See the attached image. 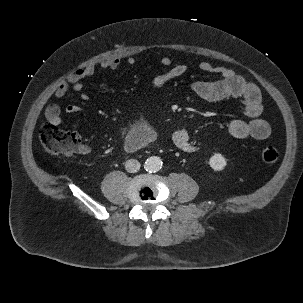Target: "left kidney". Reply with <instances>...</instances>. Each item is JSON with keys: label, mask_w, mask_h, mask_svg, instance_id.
I'll use <instances>...</instances> for the list:
<instances>
[{"label": "left kidney", "mask_w": 303, "mask_h": 303, "mask_svg": "<svg viewBox=\"0 0 303 303\" xmlns=\"http://www.w3.org/2000/svg\"><path fill=\"white\" fill-rule=\"evenodd\" d=\"M209 164L215 171H221L227 165V161L220 153H215L209 160Z\"/></svg>", "instance_id": "obj_1"}]
</instances>
